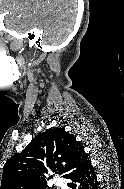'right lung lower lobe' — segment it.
I'll list each match as a JSON object with an SVG mask.
<instances>
[{"instance_id": "right-lung-lower-lobe-1", "label": "right lung lower lobe", "mask_w": 124, "mask_h": 189, "mask_svg": "<svg viewBox=\"0 0 124 189\" xmlns=\"http://www.w3.org/2000/svg\"><path fill=\"white\" fill-rule=\"evenodd\" d=\"M71 182L68 186L72 189H100L94 168L91 162L86 164L81 170L67 177Z\"/></svg>"}]
</instances>
